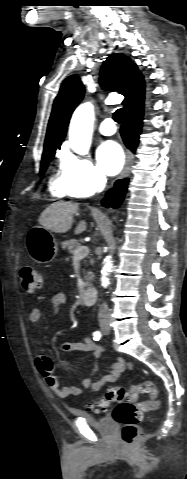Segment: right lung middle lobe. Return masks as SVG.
I'll return each mask as SVG.
<instances>
[{
	"label": "right lung middle lobe",
	"instance_id": "1",
	"mask_svg": "<svg viewBox=\"0 0 187 479\" xmlns=\"http://www.w3.org/2000/svg\"><path fill=\"white\" fill-rule=\"evenodd\" d=\"M55 153H56L55 149L43 152L42 161H41V171H40L41 176L45 172L48 163L52 160Z\"/></svg>",
	"mask_w": 187,
	"mask_h": 479
}]
</instances>
